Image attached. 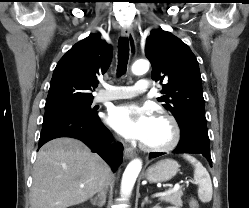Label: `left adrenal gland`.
Segmentation results:
<instances>
[{
    "instance_id": "1",
    "label": "left adrenal gland",
    "mask_w": 249,
    "mask_h": 208,
    "mask_svg": "<svg viewBox=\"0 0 249 208\" xmlns=\"http://www.w3.org/2000/svg\"><path fill=\"white\" fill-rule=\"evenodd\" d=\"M145 203H151V201L148 199V196L144 198L143 202L141 203V207H144Z\"/></svg>"
}]
</instances>
